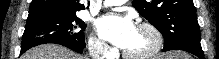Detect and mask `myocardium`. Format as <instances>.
Wrapping results in <instances>:
<instances>
[{
  "label": "myocardium",
  "instance_id": "1",
  "mask_svg": "<svg viewBox=\"0 0 219 59\" xmlns=\"http://www.w3.org/2000/svg\"><path fill=\"white\" fill-rule=\"evenodd\" d=\"M139 29L148 31L153 37V44L150 49L139 54H133L122 50V55L127 59H149L158 54L164 44V37L161 31L151 22H141L138 24Z\"/></svg>",
  "mask_w": 219,
  "mask_h": 59
}]
</instances>
